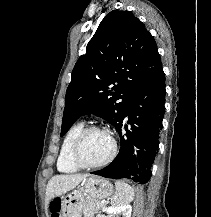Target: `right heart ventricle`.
I'll use <instances>...</instances> for the list:
<instances>
[{
    "label": "right heart ventricle",
    "mask_w": 211,
    "mask_h": 217,
    "mask_svg": "<svg viewBox=\"0 0 211 217\" xmlns=\"http://www.w3.org/2000/svg\"><path fill=\"white\" fill-rule=\"evenodd\" d=\"M84 128V123L79 122L75 125H73L68 132L66 133L61 147L60 152L57 160V168L62 173H75L80 170V167L77 166L73 159H72V148L74 145V142L80 132Z\"/></svg>",
    "instance_id": "1"
}]
</instances>
